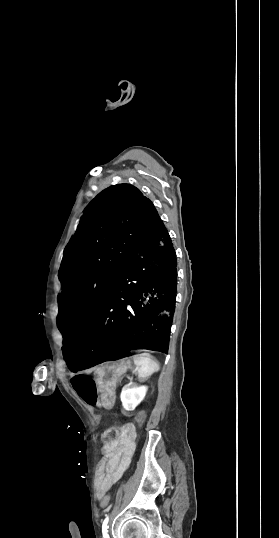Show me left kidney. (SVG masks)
Wrapping results in <instances>:
<instances>
[{
    "mask_svg": "<svg viewBox=\"0 0 279 538\" xmlns=\"http://www.w3.org/2000/svg\"><path fill=\"white\" fill-rule=\"evenodd\" d=\"M148 388L147 386H124L120 394L121 402L123 408L132 412L135 410L136 406L144 400Z\"/></svg>",
    "mask_w": 279,
    "mask_h": 538,
    "instance_id": "left-kidney-1",
    "label": "left kidney"
}]
</instances>
